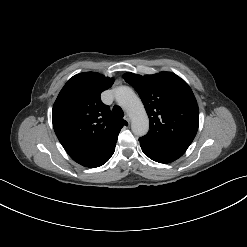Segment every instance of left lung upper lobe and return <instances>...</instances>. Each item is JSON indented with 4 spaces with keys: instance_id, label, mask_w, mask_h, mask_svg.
Instances as JSON below:
<instances>
[{
    "instance_id": "5c2ea615",
    "label": "left lung upper lobe",
    "mask_w": 247,
    "mask_h": 247,
    "mask_svg": "<svg viewBox=\"0 0 247 247\" xmlns=\"http://www.w3.org/2000/svg\"><path fill=\"white\" fill-rule=\"evenodd\" d=\"M123 78L138 92L149 117L150 130L142 138L186 151L199 123L198 105L188 84L170 72L145 76L125 73Z\"/></svg>"
}]
</instances>
